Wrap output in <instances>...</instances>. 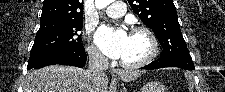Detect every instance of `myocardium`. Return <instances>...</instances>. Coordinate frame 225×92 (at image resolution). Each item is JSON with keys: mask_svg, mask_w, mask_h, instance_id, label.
<instances>
[{"mask_svg": "<svg viewBox=\"0 0 225 92\" xmlns=\"http://www.w3.org/2000/svg\"><path fill=\"white\" fill-rule=\"evenodd\" d=\"M131 33L144 34L147 37L150 44V52L142 60L137 62H126L121 60L120 62L121 66L124 68L137 69V68H141L148 65L151 61L154 60V58L158 54L159 44H158L157 37L155 36L153 31L146 26H143V25L135 26L131 29Z\"/></svg>", "mask_w": 225, "mask_h": 92, "instance_id": "1", "label": "myocardium"}]
</instances>
